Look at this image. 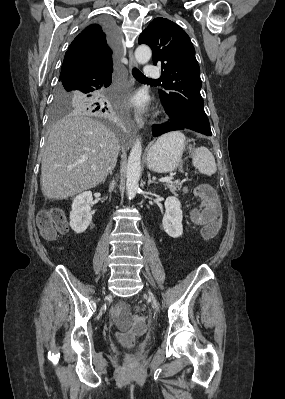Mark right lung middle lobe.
<instances>
[{"instance_id": "1", "label": "right lung middle lobe", "mask_w": 285, "mask_h": 399, "mask_svg": "<svg viewBox=\"0 0 285 399\" xmlns=\"http://www.w3.org/2000/svg\"><path fill=\"white\" fill-rule=\"evenodd\" d=\"M105 90L101 91L95 97H89L83 90L74 87L72 84L59 83L55 91L51 123H54L58 117L72 113L73 111L95 113L98 115L110 114V107H95L91 103V100L101 98Z\"/></svg>"}]
</instances>
